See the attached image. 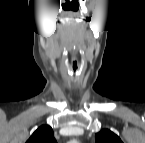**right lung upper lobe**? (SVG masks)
<instances>
[{
	"label": "right lung upper lobe",
	"instance_id": "cb5924a9",
	"mask_svg": "<svg viewBox=\"0 0 145 143\" xmlns=\"http://www.w3.org/2000/svg\"><path fill=\"white\" fill-rule=\"evenodd\" d=\"M26 143H56L53 130L48 125L40 126L28 139Z\"/></svg>",
	"mask_w": 145,
	"mask_h": 143
}]
</instances>
